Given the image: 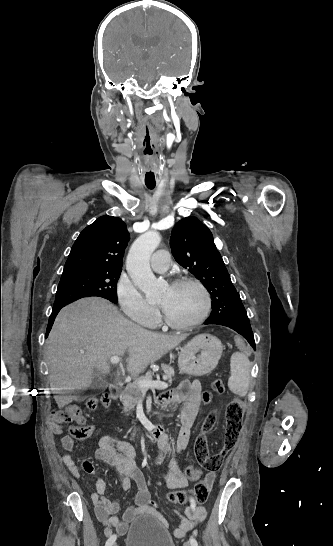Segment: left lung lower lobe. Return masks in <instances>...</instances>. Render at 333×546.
I'll return each mask as SVG.
<instances>
[{
	"label": "left lung lower lobe",
	"instance_id": "1",
	"mask_svg": "<svg viewBox=\"0 0 333 546\" xmlns=\"http://www.w3.org/2000/svg\"><path fill=\"white\" fill-rule=\"evenodd\" d=\"M205 324H218V325L229 327L235 330L236 332H238L239 334H241L249 342V344L254 348V350L256 349L252 328H251L250 321L247 314L238 316L232 322H229V323L214 321L208 318Z\"/></svg>",
	"mask_w": 333,
	"mask_h": 546
}]
</instances>
